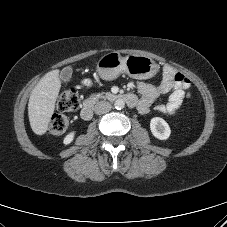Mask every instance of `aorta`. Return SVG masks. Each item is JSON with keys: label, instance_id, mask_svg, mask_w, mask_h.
I'll return each mask as SVG.
<instances>
[{"label": "aorta", "instance_id": "obj_1", "mask_svg": "<svg viewBox=\"0 0 227 227\" xmlns=\"http://www.w3.org/2000/svg\"><path fill=\"white\" fill-rule=\"evenodd\" d=\"M114 106L117 110H121L125 107V102L123 99H117L115 102H114Z\"/></svg>", "mask_w": 227, "mask_h": 227}]
</instances>
